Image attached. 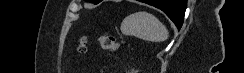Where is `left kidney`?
Instances as JSON below:
<instances>
[{
  "label": "left kidney",
  "instance_id": "5707ae66",
  "mask_svg": "<svg viewBox=\"0 0 244 73\" xmlns=\"http://www.w3.org/2000/svg\"><path fill=\"white\" fill-rule=\"evenodd\" d=\"M131 73H136V71L132 70Z\"/></svg>",
  "mask_w": 244,
  "mask_h": 73
}]
</instances>
